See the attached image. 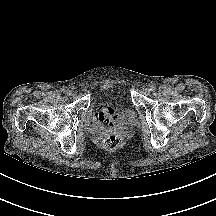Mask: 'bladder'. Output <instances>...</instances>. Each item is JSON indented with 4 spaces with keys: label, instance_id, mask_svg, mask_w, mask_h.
I'll list each match as a JSON object with an SVG mask.
<instances>
[{
    "label": "bladder",
    "instance_id": "bladder-1",
    "mask_svg": "<svg viewBox=\"0 0 216 216\" xmlns=\"http://www.w3.org/2000/svg\"><path fill=\"white\" fill-rule=\"evenodd\" d=\"M134 119V110L129 107H126L116 116L111 125L126 128L133 124Z\"/></svg>",
    "mask_w": 216,
    "mask_h": 216
}]
</instances>
